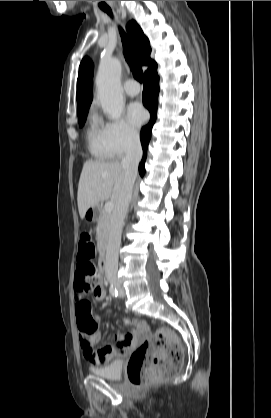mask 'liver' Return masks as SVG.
I'll return each mask as SVG.
<instances>
[{"label": "liver", "mask_w": 271, "mask_h": 418, "mask_svg": "<svg viewBox=\"0 0 271 418\" xmlns=\"http://www.w3.org/2000/svg\"><path fill=\"white\" fill-rule=\"evenodd\" d=\"M125 181L122 162L88 160L80 175L77 193L78 210L81 219L90 207L108 200L116 204Z\"/></svg>", "instance_id": "liver-1"}]
</instances>
